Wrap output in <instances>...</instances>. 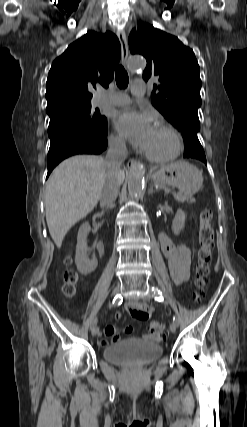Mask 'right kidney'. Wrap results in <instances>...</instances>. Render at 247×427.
I'll return each instance as SVG.
<instances>
[{"instance_id": "obj_1", "label": "right kidney", "mask_w": 247, "mask_h": 427, "mask_svg": "<svg viewBox=\"0 0 247 427\" xmlns=\"http://www.w3.org/2000/svg\"><path fill=\"white\" fill-rule=\"evenodd\" d=\"M90 230V225L88 223H83L79 228L77 236L75 264L77 270L83 275L90 274L98 265V261L95 257L88 258L87 255L89 251L87 247V236Z\"/></svg>"}]
</instances>
